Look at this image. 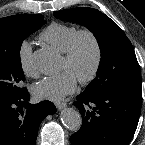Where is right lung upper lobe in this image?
Wrapping results in <instances>:
<instances>
[{
  "label": "right lung upper lobe",
  "instance_id": "right-lung-upper-lobe-1",
  "mask_svg": "<svg viewBox=\"0 0 145 145\" xmlns=\"http://www.w3.org/2000/svg\"><path fill=\"white\" fill-rule=\"evenodd\" d=\"M12 16H9V17H5V18H1L0 19V27L8 20L10 19Z\"/></svg>",
  "mask_w": 145,
  "mask_h": 145
}]
</instances>
